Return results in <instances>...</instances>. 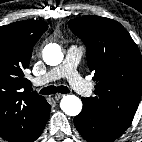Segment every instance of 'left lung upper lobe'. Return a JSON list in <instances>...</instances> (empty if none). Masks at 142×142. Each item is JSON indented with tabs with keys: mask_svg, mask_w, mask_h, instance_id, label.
<instances>
[{
	"mask_svg": "<svg viewBox=\"0 0 142 142\" xmlns=\"http://www.w3.org/2000/svg\"><path fill=\"white\" fill-rule=\"evenodd\" d=\"M87 47V63L96 81L86 98L122 124L130 125L142 94V60L136 43L117 21L87 15L68 22Z\"/></svg>",
	"mask_w": 142,
	"mask_h": 142,
	"instance_id": "left-lung-upper-lobe-1",
	"label": "left lung upper lobe"
}]
</instances>
